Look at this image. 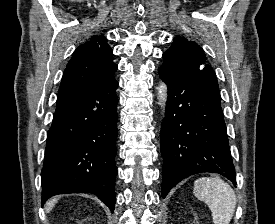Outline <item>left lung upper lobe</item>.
<instances>
[{
    "instance_id": "obj_1",
    "label": "left lung upper lobe",
    "mask_w": 275,
    "mask_h": 224,
    "mask_svg": "<svg viewBox=\"0 0 275 224\" xmlns=\"http://www.w3.org/2000/svg\"><path fill=\"white\" fill-rule=\"evenodd\" d=\"M163 64L158 68L171 79L195 78L219 91L216 75L206 65V56L198 44L176 36L171 47L162 55Z\"/></svg>"
}]
</instances>
